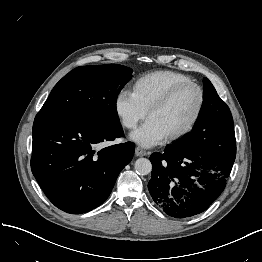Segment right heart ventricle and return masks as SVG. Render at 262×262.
I'll return each instance as SVG.
<instances>
[{
  "mask_svg": "<svg viewBox=\"0 0 262 262\" xmlns=\"http://www.w3.org/2000/svg\"><path fill=\"white\" fill-rule=\"evenodd\" d=\"M189 81V77L178 72L155 71L140 77L133 86V93L143 108L148 111L171 88Z\"/></svg>",
  "mask_w": 262,
  "mask_h": 262,
  "instance_id": "right-heart-ventricle-1",
  "label": "right heart ventricle"
}]
</instances>
